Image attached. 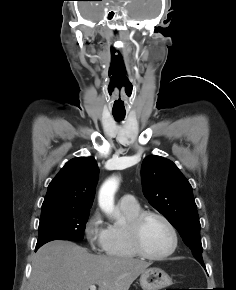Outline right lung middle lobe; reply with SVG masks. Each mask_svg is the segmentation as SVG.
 I'll return each mask as SVG.
<instances>
[{
    "mask_svg": "<svg viewBox=\"0 0 236 290\" xmlns=\"http://www.w3.org/2000/svg\"><path fill=\"white\" fill-rule=\"evenodd\" d=\"M90 210L50 209L41 213L36 249L52 240L83 239Z\"/></svg>",
    "mask_w": 236,
    "mask_h": 290,
    "instance_id": "obj_1",
    "label": "right lung middle lobe"
}]
</instances>
